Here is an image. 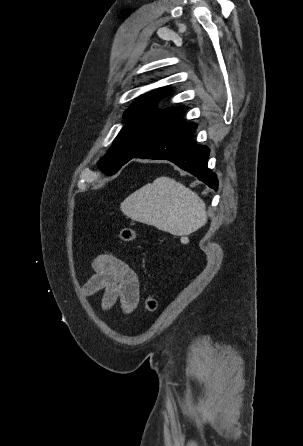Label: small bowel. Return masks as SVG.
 <instances>
[{
	"mask_svg": "<svg viewBox=\"0 0 303 446\" xmlns=\"http://www.w3.org/2000/svg\"><path fill=\"white\" fill-rule=\"evenodd\" d=\"M93 275L84 286L86 294L103 291L104 308L119 302L124 312L133 311L139 302V279L134 268L111 252L97 255L91 264Z\"/></svg>",
	"mask_w": 303,
	"mask_h": 446,
	"instance_id": "obj_1",
	"label": "small bowel"
}]
</instances>
